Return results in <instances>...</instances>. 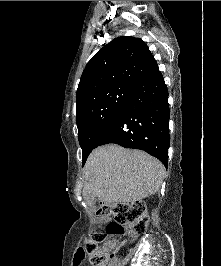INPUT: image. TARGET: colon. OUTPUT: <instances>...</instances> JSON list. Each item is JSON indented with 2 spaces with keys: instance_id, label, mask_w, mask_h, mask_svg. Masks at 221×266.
Instances as JSON below:
<instances>
[{
  "instance_id": "colon-1",
  "label": "colon",
  "mask_w": 221,
  "mask_h": 266,
  "mask_svg": "<svg viewBox=\"0 0 221 266\" xmlns=\"http://www.w3.org/2000/svg\"><path fill=\"white\" fill-rule=\"evenodd\" d=\"M97 214L102 217H114L115 221L108 224L106 231L94 232L86 239L84 259L88 258L91 266H105L108 260V250L113 244L108 237L127 235L138 237L146 233L148 217L141 202L102 205Z\"/></svg>"
}]
</instances>
